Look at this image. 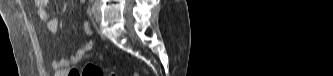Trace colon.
<instances>
[{
  "label": "colon",
  "instance_id": "1",
  "mask_svg": "<svg viewBox=\"0 0 333 76\" xmlns=\"http://www.w3.org/2000/svg\"><path fill=\"white\" fill-rule=\"evenodd\" d=\"M82 72H84V76H104V72L95 64L93 63H87L84 68L82 69ZM110 76H116L115 73H110Z\"/></svg>",
  "mask_w": 333,
  "mask_h": 76
}]
</instances>
